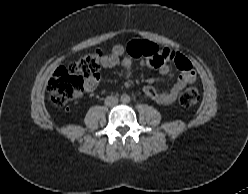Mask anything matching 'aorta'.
Listing matches in <instances>:
<instances>
[{"label": "aorta", "mask_w": 248, "mask_h": 194, "mask_svg": "<svg viewBox=\"0 0 248 194\" xmlns=\"http://www.w3.org/2000/svg\"><path fill=\"white\" fill-rule=\"evenodd\" d=\"M120 100L122 103H128L130 101V96L127 95V94H122L121 97H120Z\"/></svg>", "instance_id": "obj_1"}]
</instances>
